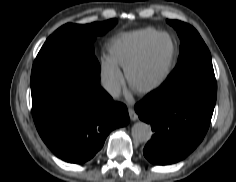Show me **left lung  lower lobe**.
Segmentation results:
<instances>
[{
    "mask_svg": "<svg viewBox=\"0 0 236 182\" xmlns=\"http://www.w3.org/2000/svg\"><path fill=\"white\" fill-rule=\"evenodd\" d=\"M216 101L192 95L168 98L147 96L135 106L139 118L152 127L144 156L153 164L168 165L187 157L203 140Z\"/></svg>",
    "mask_w": 236,
    "mask_h": 182,
    "instance_id": "left-lung-lower-lobe-1",
    "label": "left lung lower lobe"
}]
</instances>
